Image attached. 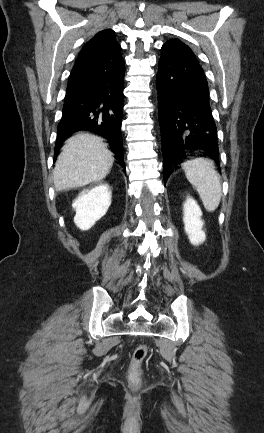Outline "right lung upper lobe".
<instances>
[{"mask_svg":"<svg viewBox=\"0 0 264 433\" xmlns=\"http://www.w3.org/2000/svg\"><path fill=\"white\" fill-rule=\"evenodd\" d=\"M121 47L115 40V32L111 29L100 31L89 40L80 51L78 58L99 57L111 61L122 58ZM55 153H57L55 151Z\"/></svg>","mask_w":264,"mask_h":433,"instance_id":"right-lung-upper-lobe-1","label":"right lung upper lobe"}]
</instances>
